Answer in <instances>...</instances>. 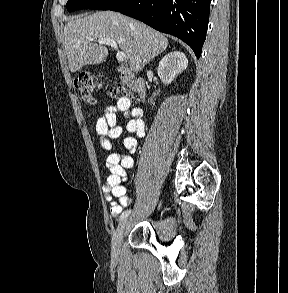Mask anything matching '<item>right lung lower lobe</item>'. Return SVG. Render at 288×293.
Instances as JSON below:
<instances>
[{"label":"right lung lower lobe","mask_w":288,"mask_h":293,"mask_svg":"<svg viewBox=\"0 0 288 293\" xmlns=\"http://www.w3.org/2000/svg\"><path fill=\"white\" fill-rule=\"evenodd\" d=\"M211 0H122L110 10L138 19L187 43L200 57Z\"/></svg>","instance_id":"obj_1"}]
</instances>
